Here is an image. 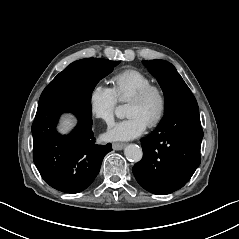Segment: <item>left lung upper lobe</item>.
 <instances>
[{"label": "left lung upper lobe", "mask_w": 239, "mask_h": 239, "mask_svg": "<svg viewBox=\"0 0 239 239\" xmlns=\"http://www.w3.org/2000/svg\"><path fill=\"white\" fill-rule=\"evenodd\" d=\"M157 78L165 98V115L173 108L196 99L175 67L164 60L142 61Z\"/></svg>", "instance_id": "left-lung-upper-lobe-1"}]
</instances>
